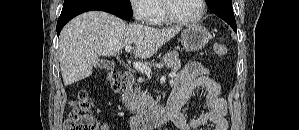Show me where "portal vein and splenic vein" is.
<instances>
[{
	"mask_svg": "<svg viewBox=\"0 0 299 130\" xmlns=\"http://www.w3.org/2000/svg\"><path fill=\"white\" fill-rule=\"evenodd\" d=\"M131 49H132V47H131L130 45L125 46V51H126V52H130ZM133 67H134L136 70H138V71H140V72H142V73H145V74H150V72H151V69L149 68V66H147V65H145V64H142V63H140V62H134V63H133ZM175 76H176V71H173V72H171V73L169 74V77H171V78H173V77H175Z\"/></svg>",
	"mask_w": 299,
	"mask_h": 130,
	"instance_id": "1",
	"label": "portal vein and splenic vein"
}]
</instances>
